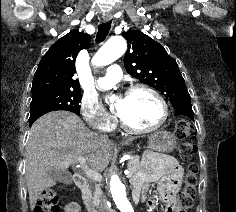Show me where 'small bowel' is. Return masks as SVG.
Here are the masks:
<instances>
[{
    "instance_id": "1",
    "label": "small bowel",
    "mask_w": 236,
    "mask_h": 212,
    "mask_svg": "<svg viewBox=\"0 0 236 212\" xmlns=\"http://www.w3.org/2000/svg\"><path fill=\"white\" fill-rule=\"evenodd\" d=\"M182 175V168L177 161L170 156L151 154L146 166L133 180L136 191L142 192L144 202L148 207L154 206L161 198L166 203L165 212H177V204L173 197V190L177 186ZM162 181L160 194L153 199L146 198L148 184L152 181ZM63 212H80L76 203H68Z\"/></svg>"
}]
</instances>
